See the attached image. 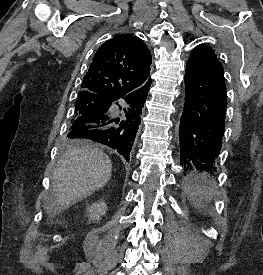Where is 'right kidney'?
<instances>
[{
  "label": "right kidney",
  "instance_id": "ca27d5eb",
  "mask_svg": "<svg viewBox=\"0 0 263 275\" xmlns=\"http://www.w3.org/2000/svg\"><path fill=\"white\" fill-rule=\"evenodd\" d=\"M89 218L93 221H99L102 215H105L107 211V205L103 201L93 203L89 209Z\"/></svg>",
  "mask_w": 263,
  "mask_h": 275
}]
</instances>
